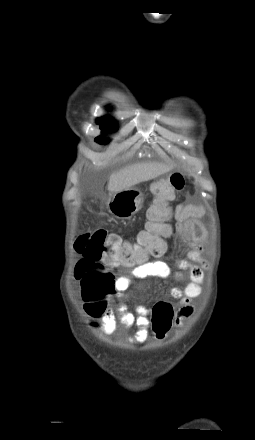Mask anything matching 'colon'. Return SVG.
Listing matches in <instances>:
<instances>
[{
	"label": "colon",
	"mask_w": 255,
	"mask_h": 440,
	"mask_svg": "<svg viewBox=\"0 0 255 440\" xmlns=\"http://www.w3.org/2000/svg\"><path fill=\"white\" fill-rule=\"evenodd\" d=\"M184 186L185 179L179 173L153 186V204L147 212L146 228L139 233L137 243L102 229L87 230L77 237L75 250L83 257L76 265V276L82 273L79 279L82 297L91 316H99L106 311L108 299L114 291L111 269L138 266L146 261L148 255L163 254L161 237L168 233V203ZM174 315L173 306L164 298H159L151 319L156 342L166 341Z\"/></svg>",
	"instance_id": "colon-1"
}]
</instances>
